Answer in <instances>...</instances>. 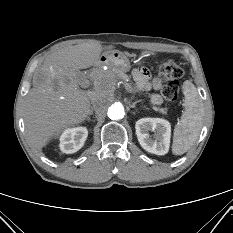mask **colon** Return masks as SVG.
I'll use <instances>...</instances> for the list:
<instances>
[{
  "label": "colon",
  "mask_w": 233,
  "mask_h": 233,
  "mask_svg": "<svg viewBox=\"0 0 233 233\" xmlns=\"http://www.w3.org/2000/svg\"><path fill=\"white\" fill-rule=\"evenodd\" d=\"M158 76L161 80L167 81L161 89L162 96L167 101H176L178 98L177 80L183 76L182 68L173 60H166L159 65Z\"/></svg>",
  "instance_id": "5ec220e1"
}]
</instances>
